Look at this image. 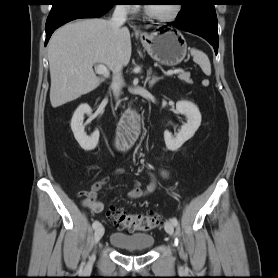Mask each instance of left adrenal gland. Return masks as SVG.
Instances as JSON below:
<instances>
[{
    "mask_svg": "<svg viewBox=\"0 0 278 278\" xmlns=\"http://www.w3.org/2000/svg\"><path fill=\"white\" fill-rule=\"evenodd\" d=\"M151 73L152 70L149 69L148 73H147V81H148V85L151 88L155 83H157L158 81H160L162 78L161 77H157V76H152L151 78Z\"/></svg>",
    "mask_w": 278,
    "mask_h": 278,
    "instance_id": "obj_1",
    "label": "left adrenal gland"
}]
</instances>
